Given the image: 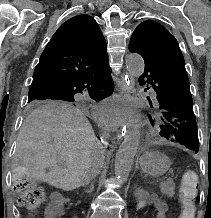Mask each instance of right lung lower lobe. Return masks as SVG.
Here are the masks:
<instances>
[{"instance_id":"1","label":"right lung lower lobe","mask_w":211,"mask_h":218,"mask_svg":"<svg viewBox=\"0 0 211 218\" xmlns=\"http://www.w3.org/2000/svg\"><path fill=\"white\" fill-rule=\"evenodd\" d=\"M110 74L109 63H103L84 77L68 81L48 91L45 96L74 97L76 93H82V90L87 88L91 98L104 99L110 96L114 90V83Z\"/></svg>"}]
</instances>
